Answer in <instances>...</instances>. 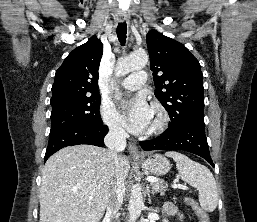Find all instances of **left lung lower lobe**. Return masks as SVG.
I'll list each match as a JSON object with an SVG mask.
<instances>
[{"instance_id":"1","label":"left lung lower lobe","mask_w":257,"mask_h":222,"mask_svg":"<svg viewBox=\"0 0 257 222\" xmlns=\"http://www.w3.org/2000/svg\"><path fill=\"white\" fill-rule=\"evenodd\" d=\"M145 151L150 150H184L206 159L213 167L209 147L205 136V124L200 121H190L168 127L159 137L140 141Z\"/></svg>"}]
</instances>
